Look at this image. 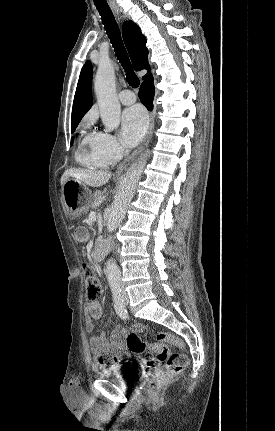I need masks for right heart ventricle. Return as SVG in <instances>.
<instances>
[{
  "instance_id": "e07e8e85",
  "label": "right heart ventricle",
  "mask_w": 275,
  "mask_h": 431,
  "mask_svg": "<svg viewBox=\"0 0 275 431\" xmlns=\"http://www.w3.org/2000/svg\"><path fill=\"white\" fill-rule=\"evenodd\" d=\"M94 133L88 134L82 139V147L77 152V159L80 163L92 168H106L111 162L99 156L92 145Z\"/></svg>"
}]
</instances>
